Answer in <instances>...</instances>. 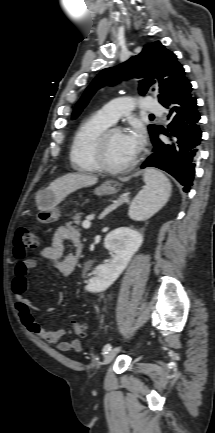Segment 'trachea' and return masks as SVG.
<instances>
[{"instance_id": "3493384b", "label": "trachea", "mask_w": 215, "mask_h": 433, "mask_svg": "<svg viewBox=\"0 0 215 433\" xmlns=\"http://www.w3.org/2000/svg\"><path fill=\"white\" fill-rule=\"evenodd\" d=\"M150 117H154V115H150Z\"/></svg>"}]
</instances>
